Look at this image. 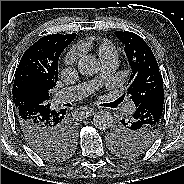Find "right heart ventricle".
Listing matches in <instances>:
<instances>
[{
    "instance_id": "1",
    "label": "right heart ventricle",
    "mask_w": 184,
    "mask_h": 184,
    "mask_svg": "<svg viewBox=\"0 0 184 184\" xmlns=\"http://www.w3.org/2000/svg\"><path fill=\"white\" fill-rule=\"evenodd\" d=\"M97 52L101 61L118 57V48L108 40H103L98 43Z\"/></svg>"
}]
</instances>
